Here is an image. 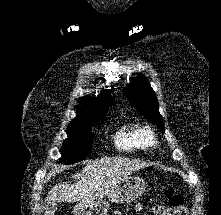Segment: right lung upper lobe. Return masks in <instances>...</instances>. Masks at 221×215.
Segmentation results:
<instances>
[{"instance_id": "cb5924a9", "label": "right lung upper lobe", "mask_w": 221, "mask_h": 215, "mask_svg": "<svg viewBox=\"0 0 221 215\" xmlns=\"http://www.w3.org/2000/svg\"><path fill=\"white\" fill-rule=\"evenodd\" d=\"M112 88L109 91H114ZM114 98L108 93V91L100 94L98 97H81L79 102L81 106H77V117L78 119L85 120H101L106 118V113L109 107L113 105ZM96 104V107L94 106Z\"/></svg>"}]
</instances>
